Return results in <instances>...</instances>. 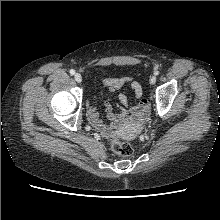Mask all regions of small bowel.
<instances>
[{"label": "small bowel", "mask_w": 220, "mask_h": 220, "mask_svg": "<svg viewBox=\"0 0 220 220\" xmlns=\"http://www.w3.org/2000/svg\"><path fill=\"white\" fill-rule=\"evenodd\" d=\"M103 86V88L110 93L116 92L124 86H128L134 92L135 100L137 102L136 105L131 106L126 95L120 93L118 95L119 114H114L111 111V105L105 103L106 121L108 122L120 121L126 118L128 114L138 118L148 107L147 100L142 99L143 91L141 85L131 77L106 78L103 80ZM87 118L100 133L107 135L111 132V125L100 118L92 101H89L87 104Z\"/></svg>", "instance_id": "small-bowel-1"}]
</instances>
